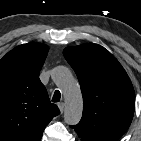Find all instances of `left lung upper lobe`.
<instances>
[{"label":"left lung upper lobe","instance_id":"1","mask_svg":"<svg viewBox=\"0 0 141 141\" xmlns=\"http://www.w3.org/2000/svg\"><path fill=\"white\" fill-rule=\"evenodd\" d=\"M83 95L81 121L72 126L82 141H117L131 124L135 109L132 83L104 47L87 43L64 49Z\"/></svg>","mask_w":141,"mask_h":141}]
</instances>
